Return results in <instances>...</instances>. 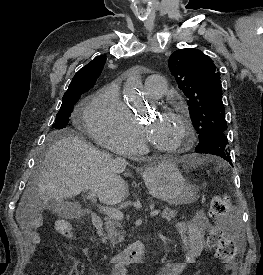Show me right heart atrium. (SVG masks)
Here are the masks:
<instances>
[{"instance_id": "obj_1", "label": "right heart atrium", "mask_w": 263, "mask_h": 275, "mask_svg": "<svg viewBox=\"0 0 263 275\" xmlns=\"http://www.w3.org/2000/svg\"><path fill=\"white\" fill-rule=\"evenodd\" d=\"M84 124L98 144L113 152L128 154L142 145L141 128L115 87L92 96L85 108Z\"/></svg>"}]
</instances>
